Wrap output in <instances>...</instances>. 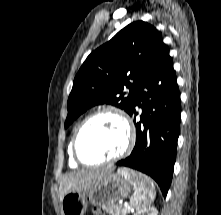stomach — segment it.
<instances>
[{"mask_svg":"<svg viewBox=\"0 0 221 215\" xmlns=\"http://www.w3.org/2000/svg\"><path fill=\"white\" fill-rule=\"evenodd\" d=\"M144 177L143 174L125 168L118 170L116 174L110 173L88 190L65 194L60 201L61 213L62 215H84L89 203L102 208L115 205L129 194L135 181L142 182Z\"/></svg>","mask_w":221,"mask_h":215,"instance_id":"0dacf381","label":"stomach"}]
</instances>
